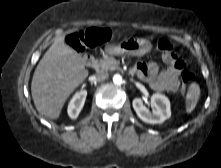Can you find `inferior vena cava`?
Masks as SVG:
<instances>
[{
    "mask_svg": "<svg viewBox=\"0 0 221 168\" xmlns=\"http://www.w3.org/2000/svg\"><path fill=\"white\" fill-rule=\"evenodd\" d=\"M108 76H109V74L107 72H103V71L95 74V78L97 81H103V80L107 79Z\"/></svg>",
    "mask_w": 221,
    "mask_h": 168,
    "instance_id": "602c4592",
    "label": "inferior vena cava"
}]
</instances>
